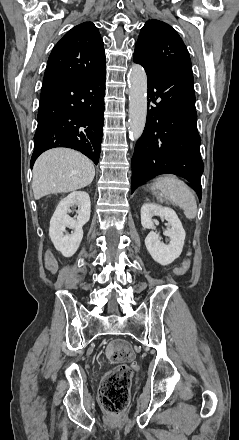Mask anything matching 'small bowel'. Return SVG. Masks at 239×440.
Segmentation results:
<instances>
[{
  "label": "small bowel",
  "mask_w": 239,
  "mask_h": 440,
  "mask_svg": "<svg viewBox=\"0 0 239 440\" xmlns=\"http://www.w3.org/2000/svg\"><path fill=\"white\" fill-rule=\"evenodd\" d=\"M45 265H46V268L52 273L57 272L58 267H59L57 260L54 258L52 253L49 251H47L45 254Z\"/></svg>",
  "instance_id": "obj_1"
}]
</instances>
